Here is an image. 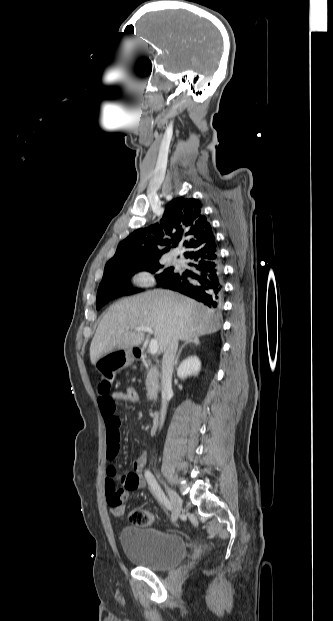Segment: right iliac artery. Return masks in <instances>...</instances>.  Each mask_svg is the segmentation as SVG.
Segmentation results:
<instances>
[{
    "label": "right iliac artery",
    "mask_w": 333,
    "mask_h": 621,
    "mask_svg": "<svg viewBox=\"0 0 333 621\" xmlns=\"http://www.w3.org/2000/svg\"><path fill=\"white\" fill-rule=\"evenodd\" d=\"M145 478L151 488V490L153 491V493L155 494V496L158 498V500L168 509V510H172V504L171 502L166 498L165 494L163 493L162 489L160 488V486L158 485L156 479L154 478L153 474L149 471V470H145Z\"/></svg>",
    "instance_id": "right-iliac-artery-1"
}]
</instances>
